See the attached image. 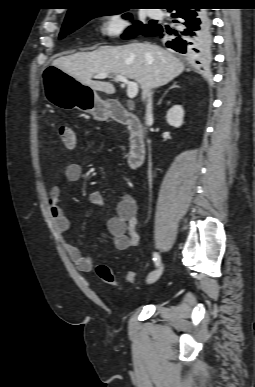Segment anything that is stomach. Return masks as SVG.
Wrapping results in <instances>:
<instances>
[{"mask_svg": "<svg viewBox=\"0 0 255 387\" xmlns=\"http://www.w3.org/2000/svg\"><path fill=\"white\" fill-rule=\"evenodd\" d=\"M42 82L45 98L52 105L63 109L78 108L98 121L109 118L110 102L102 100L95 90L78 82L65 70L54 66L43 70Z\"/></svg>", "mask_w": 255, "mask_h": 387, "instance_id": "stomach-1", "label": "stomach"}]
</instances>
